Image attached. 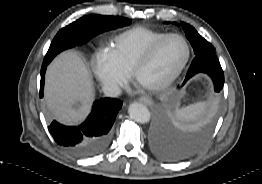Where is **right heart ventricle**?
Returning <instances> with one entry per match:
<instances>
[{
    "mask_svg": "<svg viewBox=\"0 0 262 184\" xmlns=\"http://www.w3.org/2000/svg\"><path fill=\"white\" fill-rule=\"evenodd\" d=\"M164 34L144 27H133L114 37L110 52L119 65L131 73L144 51Z\"/></svg>",
    "mask_w": 262,
    "mask_h": 184,
    "instance_id": "right-heart-ventricle-1",
    "label": "right heart ventricle"
}]
</instances>
